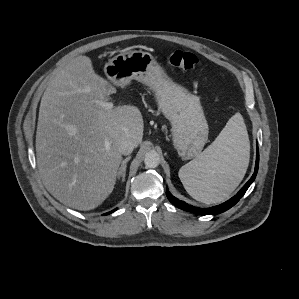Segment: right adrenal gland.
Here are the masks:
<instances>
[{
  "instance_id": "2a0ac1e0",
  "label": "right adrenal gland",
  "mask_w": 299,
  "mask_h": 299,
  "mask_svg": "<svg viewBox=\"0 0 299 299\" xmlns=\"http://www.w3.org/2000/svg\"><path fill=\"white\" fill-rule=\"evenodd\" d=\"M131 159L130 156H128L127 158H125L123 161H122V164L118 170V173H117V177L118 179H120V177H122V182L125 181V176H126V167H127V162Z\"/></svg>"
}]
</instances>
